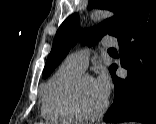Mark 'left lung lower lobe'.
<instances>
[{"instance_id":"0a47b994","label":"left lung lower lobe","mask_w":156,"mask_h":124,"mask_svg":"<svg viewBox=\"0 0 156 124\" xmlns=\"http://www.w3.org/2000/svg\"><path fill=\"white\" fill-rule=\"evenodd\" d=\"M117 39L120 64L128 75L117 77V65H113L114 102L103 120L156 124V0H150L136 22Z\"/></svg>"}]
</instances>
